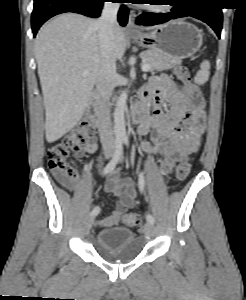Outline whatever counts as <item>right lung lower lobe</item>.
<instances>
[{"label":"right lung lower lobe","mask_w":246,"mask_h":300,"mask_svg":"<svg viewBox=\"0 0 246 300\" xmlns=\"http://www.w3.org/2000/svg\"><path fill=\"white\" fill-rule=\"evenodd\" d=\"M106 0H34L31 16V27L34 37L41 25L49 18L64 12H75L97 18L101 14ZM119 2V0H114ZM120 25L125 26L128 21V9L122 5L118 13Z\"/></svg>","instance_id":"obj_1"}]
</instances>
